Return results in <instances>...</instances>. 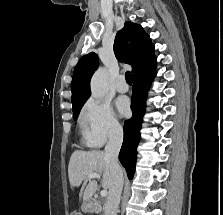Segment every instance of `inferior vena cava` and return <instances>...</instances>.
<instances>
[{"mask_svg": "<svg viewBox=\"0 0 223 215\" xmlns=\"http://www.w3.org/2000/svg\"><path fill=\"white\" fill-rule=\"evenodd\" d=\"M123 141L122 127H112L109 131V141L105 145V155L110 159L112 181L109 187L106 203L104 205L105 215H117L120 195L123 187V173L118 161V153Z\"/></svg>", "mask_w": 223, "mask_h": 215, "instance_id": "obj_1", "label": "inferior vena cava"}]
</instances>
